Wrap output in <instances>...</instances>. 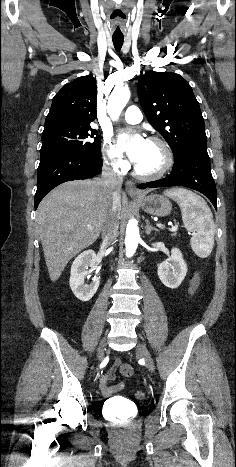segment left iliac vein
Segmentation results:
<instances>
[{
    "label": "left iliac vein",
    "mask_w": 236,
    "mask_h": 467,
    "mask_svg": "<svg viewBox=\"0 0 236 467\" xmlns=\"http://www.w3.org/2000/svg\"><path fill=\"white\" fill-rule=\"evenodd\" d=\"M136 350L141 355V357L145 360L148 370L150 372H153L155 369L154 362L146 346L143 344H138Z\"/></svg>",
    "instance_id": "obj_1"
}]
</instances>
